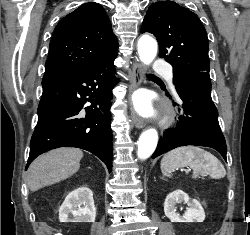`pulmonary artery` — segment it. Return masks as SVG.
<instances>
[{"label":"pulmonary artery","instance_id":"e3ab8cb5","mask_svg":"<svg viewBox=\"0 0 250 235\" xmlns=\"http://www.w3.org/2000/svg\"><path fill=\"white\" fill-rule=\"evenodd\" d=\"M153 71L156 73H162L166 76V79L172 84L173 82V73L169 69L168 65L163 64L160 59L155 60L153 65Z\"/></svg>","mask_w":250,"mask_h":235}]
</instances>
